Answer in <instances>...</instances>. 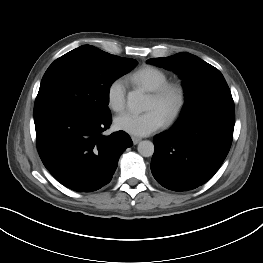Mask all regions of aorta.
I'll return each instance as SVG.
<instances>
[{
    "instance_id": "obj_1",
    "label": "aorta",
    "mask_w": 263,
    "mask_h": 263,
    "mask_svg": "<svg viewBox=\"0 0 263 263\" xmlns=\"http://www.w3.org/2000/svg\"><path fill=\"white\" fill-rule=\"evenodd\" d=\"M128 107L135 112H142L147 108L146 96L140 90H134L128 93ZM138 152L143 157H151L154 154V144L149 140L141 141L138 144Z\"/></svg>"
}]
</instances>
